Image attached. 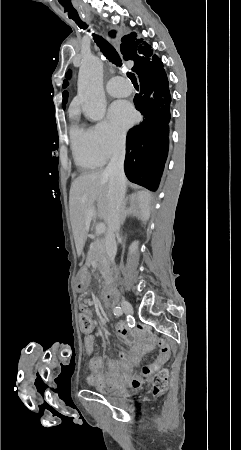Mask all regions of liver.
Returning a JSON list of instances; mask_svg holds the SVG:
<instances>
[{
	"label": "liver",
	"instance_id": "liver-1",
	"mask_svg": "<svg viewBox=\"0 0 241 450\" xmlns=\"http://www.w3.org/2000/svg\"><path fill=\"white\" fill-rule=\"evenodd\" d=\"M130 200L132 206H136L140 220L144 224L148 222L151 216V194L148 190L132 194ZM69 204L75 246L78 256H81L92 218L99 216L107 226L110 222L109 176L104 174V170L81 174L72 182Z\"/></svg>",
	"mask_w": 241,
	"mask_h": 450
}]
</instances>
